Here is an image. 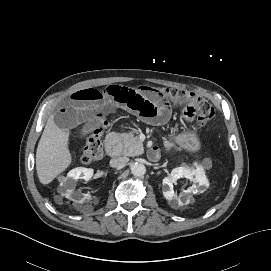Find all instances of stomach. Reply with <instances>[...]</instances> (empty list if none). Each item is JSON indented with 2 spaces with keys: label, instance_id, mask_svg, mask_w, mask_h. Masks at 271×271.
<instances>
[{
  "label": "stomach",
  "instance_id": "1",
  "mask_svg": "<svg viewBox=\"0 0 271 271\" xmlns=\"http://www.w3.org/2000/svg\"><path fill=\"white\" fill-rule=\"evenodd\" d=\"M175 144L180 148L189 152H197L201 143L194 131H186L174 137Z\"/></svg>",
  "mask_w": 271,
  "mask_h": 271
}]
</instances>
